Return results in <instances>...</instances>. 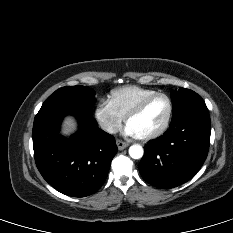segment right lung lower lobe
Here are the masks:
<instances>
[{"label":"right lung lower lobe","mask_w":233,"mask_h":233,"mask_svg":"<svg viewBox=\"0 0 233 233\" xmlns=\"http://www.w3.org/2000/svg\"><path fill=\"white\" fill-rule=\"evenodd\" d=\"M67 114L79 122L70 138L59 135ZM33 149L43 178L59 192L72 197L93 194L104 183L118 151L115 138L97 127L92 115L68 109L38 112L33 125Z\"/></svg>","instance_id":"1"}]
</instances>
